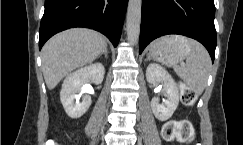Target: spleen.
<instances>
[{
	"label": "spleen",
	"mask_w": 243,
	"mask_h": 145,
	"mask_svg": "<svg viewBox=\"0 0 243 145\" xmlns=\"http://www.w3.org/2000/svg\"><path fill=\"white\" fill-rule=\"evenodd\" d=\"M188 41L191 52L185 63L174 66V71L196 95H201L207 84L211 59L203 45L197 41Z\"/></svg>",
	"instance_id": "3e777b00"
}]
</instances>
